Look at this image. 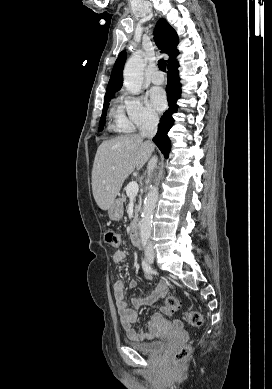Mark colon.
Wrapping results in <instances>:
<instances>
[{"mask_svg":"<svg viewBox=\"0 0 272 389\" xmlns=\"http://www.w3.org/2000/svg\"><path fill=\"white\" fill-rule=\"evenodd\" d=\"M105 241L112 247H119L121 239L120 236L110 228L104 231ZM165 313L173 314L181 310V303L178 298L170 296L165 300ZM185 321L194 327H200L203 324V316L197 311H188L184 314ZM190 346L184 345L172 354V360L175 364H181L187 360L190 354Z\"/></svg>","mask_w":272,"mask_h":389,"instance_id":"1","label":"colon"}]
</instances>
